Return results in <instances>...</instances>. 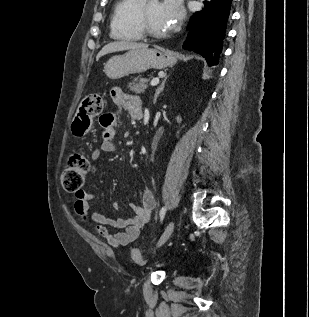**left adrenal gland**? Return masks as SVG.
Instances as JSON below:
<instances>
[{
  "instance_id": "1",
  "label": "left adrenal gland",
  "mask_w": 309,
  "mask_h": 317,
  "mask_svg": "<svg viewBox=\"0 0 309 317\" xmlns=\"http://www.w3.org/2000/svg\"><path fill=\"white\" fill-rule=\"evenodd\" d=\"M167 78H168V76H165L163 81H162V83H161V85L156 89V92H155V95H154V103H156L157 97L164 90Z\"/></svg>"
}]
</instances>
